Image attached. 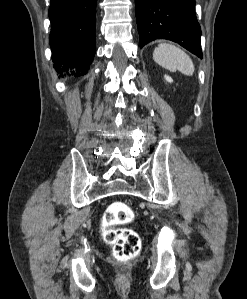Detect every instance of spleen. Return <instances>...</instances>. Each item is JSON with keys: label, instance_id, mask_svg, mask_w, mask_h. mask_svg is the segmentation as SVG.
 <instances>
[{"label": "spleen", "instance_id": "spleen-1", "mask_svg": "<svg viewBox=\"0 0 247 299\" xmlns=\"http://www.w3.org/2000/svg\"><path fill=\"white\" fill-rule=\"evenodd\" d=\"M153 59L157 64L169 71L175 72L178 70L188 76H192L194 73L195 68L192 59L174 45L159 44L153 52Z\"/></svg>", "mask_w": 247, "mask_h": 299}]
</instances>
